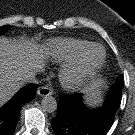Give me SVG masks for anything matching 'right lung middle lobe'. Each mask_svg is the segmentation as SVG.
I'll return each mask as SVG.
<instances>
[{
  "instance_id": "right-lung-middle-lobe-1",
  "label": "right lung middle lobe",
  "mask_w": 135,
  "mask_h": 135,
  "mask_svg": "<svg viewBox=\"0 0 135 135\" xmlns=\"http://www.w3.org/2000/svg\"><path fill=\"white\" fill-rule=\"evenodd\" d=\"M9 27L10 25H5V26L0 27V34L4 33Z\"/></svg>"
}]
</instances>
